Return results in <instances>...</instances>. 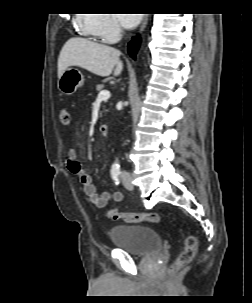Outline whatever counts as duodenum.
I'll use <instances>...</instances> for the list:
<instances>
[{
	"label": "duodenum",
	"instance_id": "duodenum-1",
	"mask_svg": "<svg viewBox=\"0 0 252 303\" xmlns=\"http://www.w3.org/2000/svg\"><path fill=\"white\" fill-rule=\"evenodd\" d=\"M108 131H109V126L107 124H103L99 128L100 135L102 136H106L108 134Z\"/></svg>",
	"mask_w": 252,
	"mask_h": 303
}]
</instances>
